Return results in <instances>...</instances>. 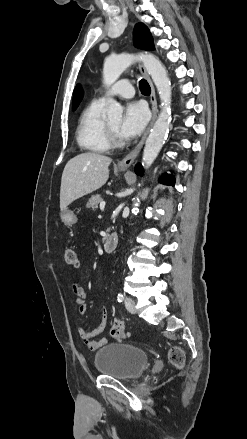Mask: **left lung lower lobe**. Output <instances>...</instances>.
Listing matches in <instances>:
<instances>
[{
    "mask_svg": "<svg viewBox=\"0 0 247 439\" xmlns=\"http://www.w3.org/2000/svg\"><path fill=\"white\" fill-rule=\"evenodd\" d=\"M135 172L138 175H141L142 172H143L142 166L141 165H137ZM160 182L164 183V184H167V185H172V186H174V184H175V181H174V178H173L172 175H164V176H162Z\"/></svg>",
    "mask_w": 247,
    "mask_h": 439,
    "instance_id": "left-lung-lower-lobe-1",
    "label": "left lung lower lobe"
}]
</instances>
